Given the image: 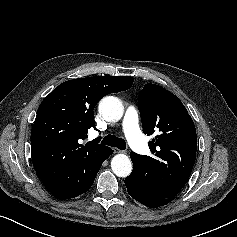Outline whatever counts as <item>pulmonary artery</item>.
<instances>
[{
    "mask_svg": "<svg viewBox=\"0 0 237 237\" xmlns=\"http://www.w3.org/2000/svg\"><path fill=\"white\" fill-rule=\"evenodd\" d=\"M123 128L129 144L138 153L145 154L148 148L142 140V134L139 129V113L133 105L128 106L126 109Z\"/></svg>",
    "mask_w": 237,
    "mask_h": 237,
    "instance_id": "pulmonary-artery-1",
    "label": "pulmonary artery"
}]
</instances>
